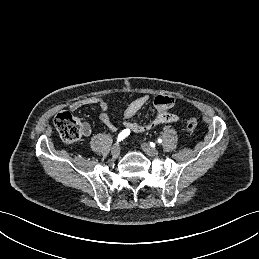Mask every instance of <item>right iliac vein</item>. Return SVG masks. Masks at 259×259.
Here are the masks:
<instances>
[{"label": "right iliac vein", "mask_w": 259, "mask_h": 259, "mask_svg": "<svg viewBox=\"0 0 259 259\" xmlns=\"http://www.w3.org/2000/svg\"><path fill=\"white\" fill-rule=\"evenodd\" d=\"M111 154L114 158H117L120 155V146L119 144H115L111 148Z\"/></svg>", "instance_id": "obj_1"}]
</instances>
